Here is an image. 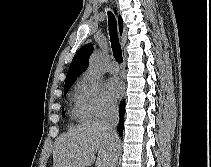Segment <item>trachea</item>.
Masks as SVG:
<instances>
[{
	"label": "trachea",
	"mask_w": 211,
	"mask_h": 167,
	"mask_svg": "<svg viewBox=\"0 0 211 167\" xmlns=\"http://www.w3.org/2000/svg\"><path fill=\"white\" fill-rule=\"evenodd\" d=\"M108 23H109V34H110V41L113 50V55L116 61L122 63L123 57H122V50L118 42L116 19L111 12H108Z\"/></svg>",
	"instance_id": "3493384b"
}]
</instances>
